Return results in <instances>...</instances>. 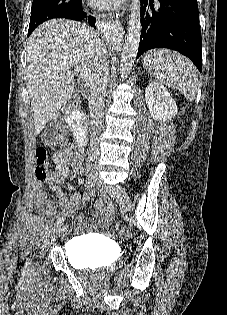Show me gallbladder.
<instances>
[{"mask_svg":"<svg viewBox=\"0 0 227 315\" xmlns=\"http://www.w3.org/2000/svg\"><path fill=\"white\" fill-rule=\"evenodd\" d=\"M66 110L67 109H64L63 111H61L57 114L56 118L53 119L55 123H61L64 120V118L66 116Z\"/></svg>","mask_w":227,"mask_h":315,"instance_id":"obj_1","label":"gallbladder"}]
</instances>
